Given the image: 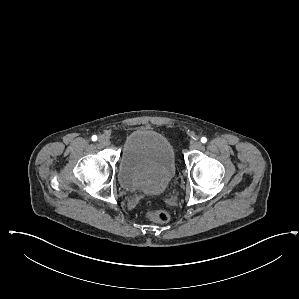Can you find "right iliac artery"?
Returning <instances> with one entry per match:
<instances>
[{
    "instance_id": "1",
    "label": "right iliac artery",
    "mask_w": 299,
    "mask_h": 299,
    "mask_svg": "<svg viewBox=\"0 0 299 299\" xmlns=\"http://www.w3.org/2000/svg\"><path fill=\"white\" fill-rule=\"evenodd\" d=\"M91 139H92V141H96V140H97V136H96V135H93V136L91 137Z\"/></svg>"
}]
</instances>
